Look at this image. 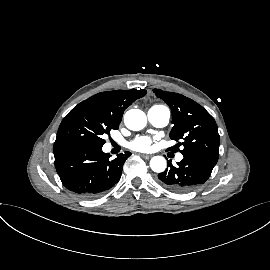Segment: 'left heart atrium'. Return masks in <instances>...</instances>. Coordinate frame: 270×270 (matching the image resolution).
Here are the masks:
<instances>
[{
  "label": "left heart atrium",
  "mask_w": 270,
  "mask_h": 270,
  "mask_svg": "<svg viewBox=\"0 0 270 270\" xmlns=\"http://www.w3.org/2000/svg\"><path fill=\"white\" fill-rule=\"evenodd\" d=\"M152 140L146 136H140L135 138L128 144V147L132 150L139 152H147L151 149Z\"/></svg>",
  "instance_id": "39dd6f15"
}]
</instances>
